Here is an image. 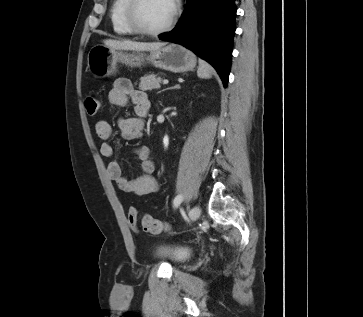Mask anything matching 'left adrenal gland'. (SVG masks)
<instances>
[{
  "label": "left adrenal gland",
  "instance_id": "a2214340",
  "mask_svg": "<svg viewBox=\"0 0 363 317\" xmlns=\"http://www.w3.org/2000/svg\"><path fill=\"white\" fill-rule=\"evenodd\" d=\"M175 88H179V84H178V85H175L174 87L167 88V89H175ZM167 89H164L163 91H165V90H167Z\"/></svg>",
  "mask_w": 363,
  "mask_h": 317
}]
</instances>
